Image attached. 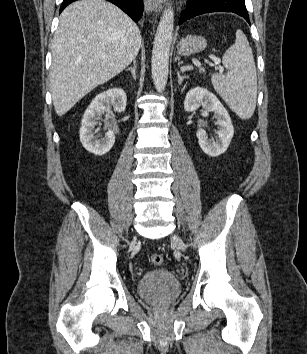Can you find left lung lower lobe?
<instances>
[{"label":"left lung lower lobe","instance_id":"left-lung-lower-lobe-1","mask_svg":"<svg viewBox=\"0 0 307 354\" xmlns=\"http://www.w3.org/2000/svg\"><path fill=\"white\" fill-rule=\"evenodd\" d=\"M232 12L242 16L249 24V16L245 0H187L185 10L180 17L179 24L187 19L210 12Z\"/></svg>","mask_w":307,"mask_h":354}]
</instances>
